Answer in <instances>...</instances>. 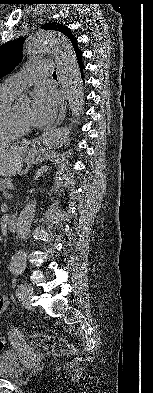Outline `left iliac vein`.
<instances>
[{"label":"left iliac vein","mask_w":153,"mask_h":393,"mask_svg":"<svg viewBox=\"0 0 153 393\" xmlns=\"http://www.w3.org/2000/svg\"><path fill=\"white\" fill-rule=\"evenodd\" d=\"M32 292H33V288L28 286L27 289L24 291L23 293V306L27 309H32V304H31V300L30 297L32 296Z\"/></svg>","instance_id":"left-iliac-vein-1"}]
</instances>
